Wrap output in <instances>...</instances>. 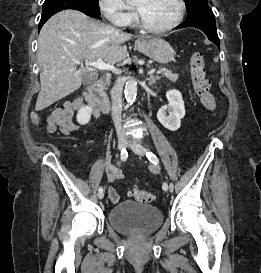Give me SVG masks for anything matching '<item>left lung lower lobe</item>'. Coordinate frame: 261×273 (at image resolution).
I'll return each mask as SVG.
<instances>
[{"label":"left lung lower lobe","instance_id":"left-lung-lower-lobe-1","mask_svg":"<svg viewBox=\"0 0 261 273\" xmlns=\"http://www.w3.org/2000/svg\"><path fill=\"white\" fill-rule=\"evenodd\" d=\"M184 27L201 29L207 35L208 39L219 48L220 42L217 35L215 16L208 4L196 7L188 13L186 20L177 28Z\"/></svg>","mask_w":261,"mask_h":273}]
</instances>
